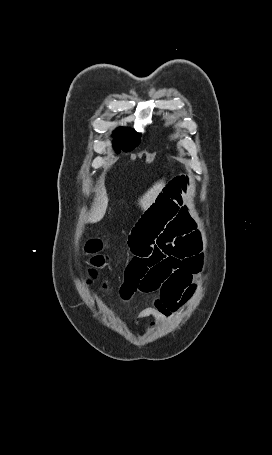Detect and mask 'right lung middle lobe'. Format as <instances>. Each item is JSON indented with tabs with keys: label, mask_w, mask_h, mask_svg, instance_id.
I'll return each mask as SVG.
<instances>
[{
	"label": "right lung middle lobe",
	"mask_w": 272,
	"mask_h": 455,
	"mask_svg": "<svg viewBox=\"0 0 272 455\" xmlns=\"http://www.w3.org/2000/svg\"><path fill=\"white\" fill-rule=\"evenodd\" d=\"M116 139L114 141V148L117 153L122 149L125 152L131 151L140 143V134L136 131H130L127 128H119L115 132Z\"/></svg>",
	"instance_id": "obj_1"
}]
</instances>
